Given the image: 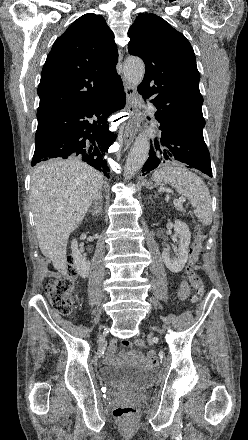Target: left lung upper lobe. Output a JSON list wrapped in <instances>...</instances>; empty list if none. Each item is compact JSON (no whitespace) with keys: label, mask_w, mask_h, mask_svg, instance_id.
<instances>
[{"label":"left lung upper lobe","mask_w":248,"mask_h":440,"mask_svg":"<svg viewBox=\"0 0 248 440\" xmlns=\"http://www.w3.org/2000/svg\"><path fill=\"white\" fill-rule=\"evenodd\" d=\"M128 36L129 53L139 56L146 66L138 92L145 98L152 96L159 117L203 136L200 74L189 41L152 13L139 14Z\"/></svg>","instance_id":"obj_1"}]
</instances>
